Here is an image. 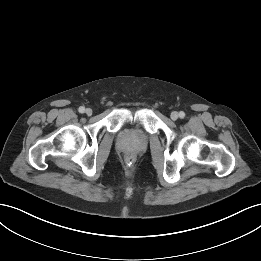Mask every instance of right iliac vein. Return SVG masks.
I'll return each instance as SVG.
<instances>
[{"label":"right iliac vein","mask_w":261,"mask_h":261,"mask_svg":"<svg viewBox=\"0 0 261 261\" xmlns=\"http://www.w3.org/2000/svg\"><path fill=\"white\" fill-rule=\"evenodd\" d=\"M85 113H86L88 116L92 115V109L87 108L86 111H85Z\"/></svg>","instance_id":"1"}]
</instances>
